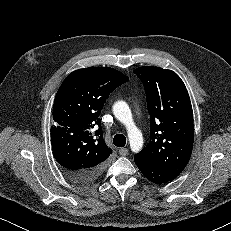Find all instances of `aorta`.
<instances>
[{"label": "aorta", "instance_id": "1", "mask_svg": "<svg viewBox=\"0 0 231 231\" xmlns=\"http://www.w3.org/2000/svg\"><path fill=\"white\" fill-rule=\"evenodd\" d=\"M113 113L127 129L131 150L135 153L139 152L143 146V137L141 131L133 121L132 113L128 104L125 101H117L113 105Z\"/></svg>", "mask_w": 231, "mask_h": 231}]
</instances>
